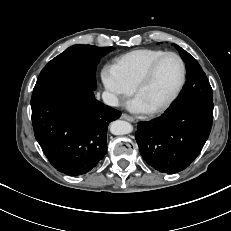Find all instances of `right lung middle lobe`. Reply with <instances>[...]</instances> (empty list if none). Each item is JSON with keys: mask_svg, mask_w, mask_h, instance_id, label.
I'll use <instances>...</instances> for the list:
<instances>
[{"mask_svg": "<svg viewBox=\"0 0 231 231\" xmlns=\"http://www.w3.org/2000/svg\"><path fill=\"white\" fill-rule=\"evenodd\" d=\"M113 47L74 45L52 59L41 71L34 92L64 85H79L95 90L96 66Z\"/></svg>", "mask_w": 231, "mask_h": 231, "instance_id": "right-lung-middle-lobe-1", "label": "right lung middle lobe"}]
</instances>
